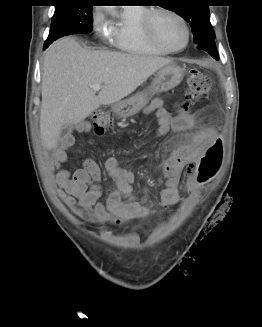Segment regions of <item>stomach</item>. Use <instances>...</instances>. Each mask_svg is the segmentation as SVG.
<instances>
[{
    "instance_id": "1",
    "label": "stomach",
    "mask_w": 262,
    "mask_h": 327,
    "mask_svg": "<svg viewBox=\"0 0 262 327\" xmlns=\"http://www.w3.org/2000/svg\"><path fill=\"white\" fill-rule=\"evenodd\" d=\"M183 76L184 71L181 67L175 63L168 64L157 72L148 90L114 103L112 109L119 117L134 116L148 104L155 94L168 91L179 85Z\"/></svg>"
}]
</instances>
